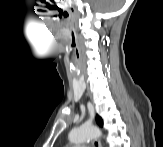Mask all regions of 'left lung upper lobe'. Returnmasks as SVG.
<instances>
[{"label": "left lung upper lobe", "instance_id": "left-lung-upper-lobe-1", "mask_svg": "<svg viewBox=\"0 0 163 147\" xmlns=\"http://www.w3.org/2000/svg\"><path fill=\"white\" fill-rule=\"evenodd\" d=\"M97 123L100 125V126H103V121L102 119L97 115Z\"/></svg>", "mask_w": 163, "mask_h": 147}]
</instances>
